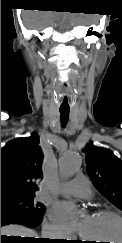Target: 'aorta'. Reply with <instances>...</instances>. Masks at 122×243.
I'll return each mask as SVG.
<instances>
[{"label": "aorta", "mask_w": 122, "mask_h": 243, "mask_svg": "<svg viewBox=\"0 0 122 243\" xmlns=\"http://www.w3.org/2000/svg\"><path fill=\"white\" fill-rule=\"evenodd\" d=\"M81 166L80 156L71 151L62 154L59 160V173L65 178L73 177L79 172Z\"/></svg>", "instance_id": "762f6f07"}]
</instances>
